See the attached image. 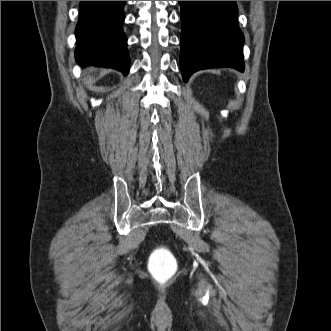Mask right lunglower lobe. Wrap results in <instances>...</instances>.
<instances>
[{
    "label": "right lung lower lobe",
    "mask_w": 331,
    "mask_h": 331,
    "mask_svg": "<svg viewBox=\"0 0 331 331\" xmlns=\"http://www.w3.org/2000/svg\"><path fill=\"white\" fill-rule=\"evenodd\" d=\"M126 1H80L75 57L79 64L92 63L127 75L130 61L123 33Z\"/></svg>",
    "instance_id": "1"
}]
</instances>
